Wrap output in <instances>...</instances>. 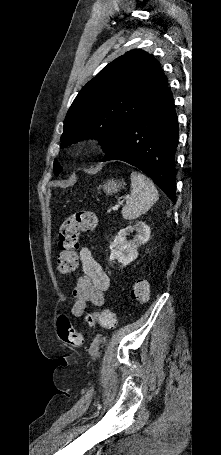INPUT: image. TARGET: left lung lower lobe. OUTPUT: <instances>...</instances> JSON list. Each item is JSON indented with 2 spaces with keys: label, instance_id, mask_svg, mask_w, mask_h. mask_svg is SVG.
I'll return each mask as SVG.
<instances>
[{
  "label": "left lung lower lobe",
  "instance_id": "1",
  "mask_svg": "<svg viewBox=\"0 0 221 455\" xmlns=\"http://www.w3.org/2000/svg\"><path fill=\"white\" fill-rule=\"evenodd\" d=\"M179 126L170 89L128 124L103 161H125L147 174L175 203Z\"/></svg>",
  "mask_w": 221,
  "mask_h": 455
}]
</instances>
